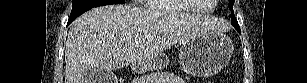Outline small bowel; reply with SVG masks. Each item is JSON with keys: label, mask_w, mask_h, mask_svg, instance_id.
<instances>
[{"label": "small bowel", "mask_w": 307, "mask_h": 83, "mask_svg": "<svg viewBox=\"0 0 307 83\" xmlns=\"http://www.w3.org/2000/svg\"><path fill=\"white\" fill-rule=\"evenodd\" d=\"M182 81L174 74L161 73L156 83H181Z\"/></svg>", "instance_id": "obj_1"}]
</instances>
